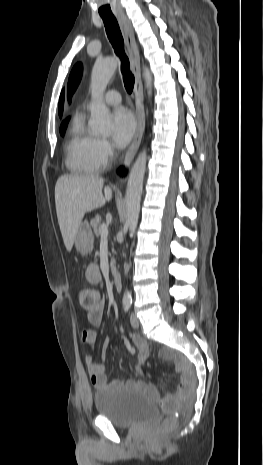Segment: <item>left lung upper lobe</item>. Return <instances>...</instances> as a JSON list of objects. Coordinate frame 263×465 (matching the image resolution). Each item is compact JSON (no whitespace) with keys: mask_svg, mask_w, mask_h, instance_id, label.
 <instances>
[{"mask_svg":"<svg viewBox=\"0 0 263 465\" xmlns=\"http://www.w3.org/2000/svg\"><path fill=\"white\" fill-rule=\"evenodd\" d=\"M82 71H83V67H82V64L81 63H77L71 73H70V76H69V81H68V99L69 101L71 100V96L72 94L74 93V91L76 90L79 82H80V79H81V76H82Z\"/></svg>","mask_w":263,"mask_h":465,"instance_id":"left-lung-upper-lobe-1","label":"left lung upper lobe"}]
</instances>
